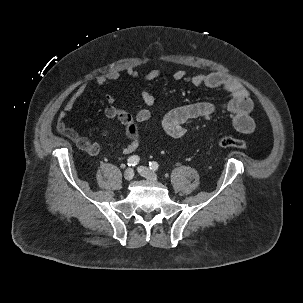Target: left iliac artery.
Wrapping results in <instances>:
<instances>
[{
  "label": "left iliac artery",
  "instance_id": "1",
  "mask_svg": "<svg viewBox=\"0 0 303 303\" xmlns=\"http://www.w3.org/2000/svg\"><path fill=\"white\" fill-rule=\"evenodd\" d=\"M149 167H150L151 170L156 171V170H158L159 165H158L157 162L152 161V162H149Z\"/></svg>",
  "mask_w": 303,
  "mask_h": 303
}]
</instances>
